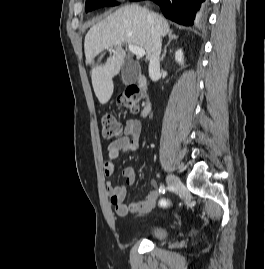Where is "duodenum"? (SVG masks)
Listing matches in <instances>:
<instances>
[{
    "instance_id": "obj_1",
    "label": "duodenum",
    "mask_w": 265,
    "mask_h": 269,
    "mask_svg": "<svg viewBox=\"0 0 265 269\" xmlns=\"http://www.w3.org/2000/svg\"><path fill=\"white\" fill-rule=\"evenodd\" d=\"M138 85L141 87H144L146 85V79L144 77H140L138 80ZM149 109H150V104L149 102H146L142 110V115L145 116L149 112Z\"/></svg>"
}]
</instances>
